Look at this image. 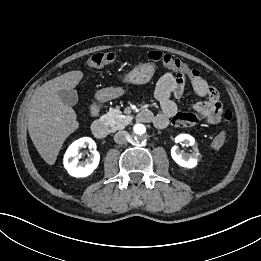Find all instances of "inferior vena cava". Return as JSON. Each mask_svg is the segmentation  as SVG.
<instances>
[{
    "label": "inferior vena cava",
    "mask_w": 261,
    "mask_h": 261,
    "mask_svg": "<svg viewBox=\"0 0 261 261\" xmlns=\"http://www.w3.org/2000/svg\"><path fill=\"white\" fill-rule=\"evenodd\" d=\"M129 134L127 131H118L115 135H114V141L117 144H124L127 141Z\"/></svg>",
    "instance_id": "1"
}]
</instances>
